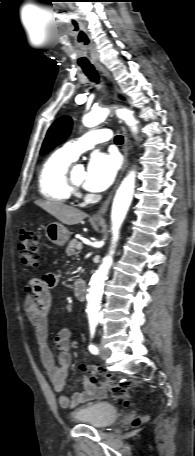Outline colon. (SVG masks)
Here are the masks:
<instances>
[{
    "mask_svg": "<svg viewBox=\"0 0 195 456\" xmlns=\"http://www.w3.org/2000/svg\"><path fill=\"white\" fill-rule=\"evenodd\" d=\"M41 246L42 243L40 241V238L35 232H23L21 234L19 242V252L22 258V262L26 265L37 267L39 265ZM81 370L88 374L94 383L105 386L108 390L109 396L115 403L124 406L130 404L131 384L128 381H112L105 369L98 365H84L81 367ZM145 420L146 416L138 417L134 421V424L139 425Z\"/></svg>",
    "mask_w": 195,
    "mask_h": 456,
    "instance_id": "5ec220e1",
    "label": "colon"
}]
</instances>
